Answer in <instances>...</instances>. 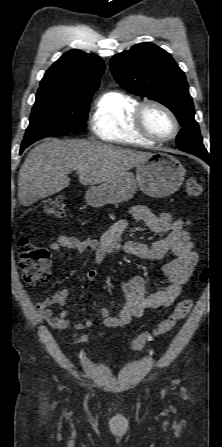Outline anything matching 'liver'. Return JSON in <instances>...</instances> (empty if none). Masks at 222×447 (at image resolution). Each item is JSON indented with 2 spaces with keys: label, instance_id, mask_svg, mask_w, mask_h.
<instances>
[{
  "label": "liver",
  "instance_id": "liver-1",
  "mask_svg": "<svg viewBox=\"0 0 222 447\" xmlns=\"http://www.w3.org/2000/svg\"><path fill=\"white\" fill-rule=\"evenodd\" d=\"M152 153L124 149L84 139L48 138L32 149L19 171L18 199L46 198L70 184L73 170L83 185L114 179L148 159Z\"/></svg>",
  "mask_w": 222,
  "mask_h": 447
}]
</instances>
